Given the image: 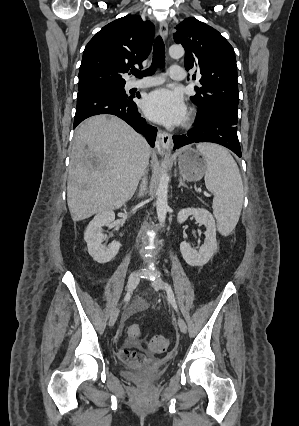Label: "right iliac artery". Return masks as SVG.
Segmentation results:
<instances>
[{
	"label": "right iliac artery",
	"mask_w": 299,
	"mask_h": 426,
	"mask_svg": "<svg viewBox=\"0 0 299 426\" xmlns=\"http://www.w3.org/2000/svg\"><path fill=\"white\" fill-rule=\"evenodd\" d=\"M130 296H131V294H130V293H128V294L125 296L124 301L129 300V299H130Z\"/></svg>",
	"instance_id": "right-iliac-artery-1"
}]
</instances>
